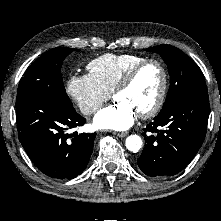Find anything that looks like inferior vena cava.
<instances>
[{
  "instance_id": "1",
  "label": "inferior vena cava",
  "mask_w": 221,
  "mask_h": 221,
  "mask_svg": "<svg viewBox=\"0 0 221 221\" xmlns=\"http://www.w3.org/2000/svg\"><path fill=\"white\" fill-rule=\"evenodd\" d=\"M98 108L97 107H94V108H92L90 111H96Z\"/></svg>"
}]
</instances>
